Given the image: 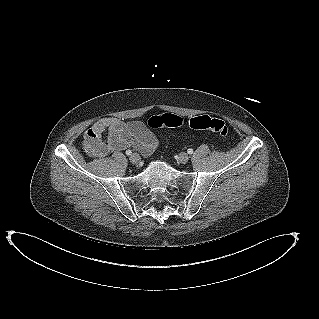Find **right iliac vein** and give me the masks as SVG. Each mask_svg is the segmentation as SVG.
<instances>
[{"instance_id": "right-iliac-vein-1", "label": "right iliac vein", "mask_w": 319, "mask_h": 319, "mask_svg": "<svg viewBox=\"0 0 319 319\" xmlns=\"http://www.w3.org/2000/svg\"><path fill=\"white\" fill-rule=\"evenodd\" d=\"M129 160L132 164H138L140 161V156L137 153H133L131 154V156L129 157Z\"/></svg>"}]
</instances>
